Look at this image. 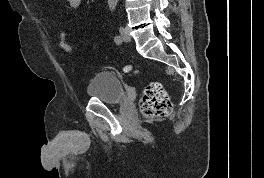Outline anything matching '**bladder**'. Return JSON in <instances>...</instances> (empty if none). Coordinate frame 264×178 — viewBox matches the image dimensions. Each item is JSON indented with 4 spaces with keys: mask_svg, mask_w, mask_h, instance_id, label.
Instances as JSON below:
<instances>
[{
    "mask_svg": "<svg viewBox=\"0 0 264 178\" xmlns=\"http://www.w3.org/2000/svg\"><path fill=\"white\" fill-rule=\"evenodd\" d=\"M86 93L90 99L109 105H118L124 100V86L110 71L96 73L88 82Z\"/></svg>",
    "mask_w": 264,
    "mask_h": 178,
    "instance_id": "bladder-1",
    "label": "bladder"
}]
</instances>
